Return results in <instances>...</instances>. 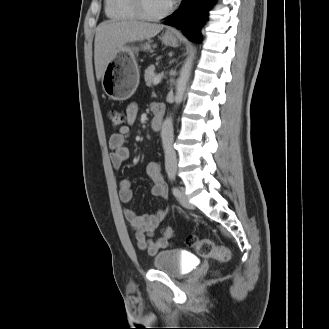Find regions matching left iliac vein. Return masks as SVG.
<instances>
[{
  "mask_svg": "<svg viewBox=\"0 0 329 329\" xmlns=\"http://www.w3.org/2000/svg\"><path fill=\"white\" fill-rule=\"evenodd\" d=\"M178 200L184 208H187V209L193 208V205L188 201L184 188L180 189V195L178 196Z\"/></svg>",
  "mask_w": 329,
  "mask_h": 329,
  "instance_id": "left-iliac-vein-1",
  "label": "left iliac vein"
}]
</instances>
